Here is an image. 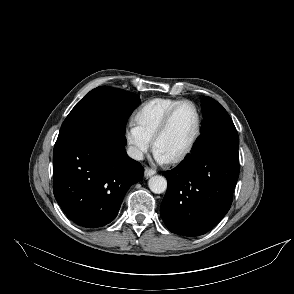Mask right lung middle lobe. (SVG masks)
<instances>
[{
  "instance_id": "obj_1",
  "label": "right lung middle lobe",
  "mask_w": 294,
  "mask_h": 294,
  "mask_svg": "<svg viewBox=\"0 0 294 294\" xmlns=\"http://www.w3.org/2000/svg\"><path fill=\"white\" fill-rule=\"evenodd\" d=\"M139 99L134 93L107 86L91 90L64 120L57 141L106 131L124 133L126 119Z\"/></svg>"
}]
</instances>
